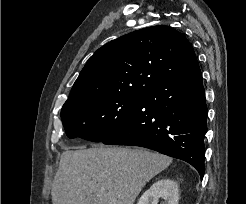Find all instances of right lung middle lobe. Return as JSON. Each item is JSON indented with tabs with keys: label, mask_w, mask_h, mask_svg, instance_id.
<instances>
[{
	"label": "right lung middle lobe",
	"mask_w": 246,
	"mask_h": 204,
	"mask_svg": "<svg viewBox=\"0 0 246 204\" xmlns=\"http://www.w3.org/2000/svg\"><path fill=\"white\" fill-rule=\"evenodd\" d=\"M139 93L94 97L62 108L61 119L69 138L100 142L118 129L129 116Z\"/></svg>",
	"instance_id": "obj_1"
}]
</instances>
